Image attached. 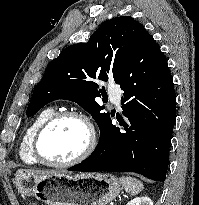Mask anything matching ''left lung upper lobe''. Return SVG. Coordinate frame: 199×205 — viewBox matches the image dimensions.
I'll return each mask as SVG.
<instances>
[{
    "label": "left lung upper lobe",
    "instance_id": "5c2ea615",
    "mask_svg": "<svg viewBox=\"0 0 199 205\" xmlns=\"http://www.w3.org/2000/svg\"><path fill=\"white\" fill-rule=\"evenodd\" d=\"M145 31L130 16L105 21L87 43L68 46L48 65L35 86L27 107V116L37 113L47 103L65 99L74 101L89 112L100 128L110 123L112 114L102 113L96 97L103 96L96 80L113 77L120 84L124 67Z\"/></svg>",
    "mask_w": 199,
    "mask_h": 205
}]
</instances>
